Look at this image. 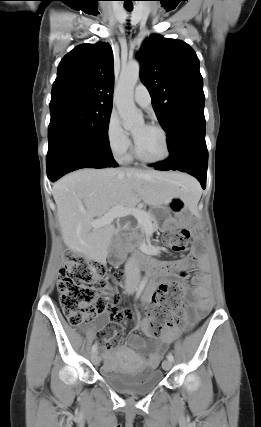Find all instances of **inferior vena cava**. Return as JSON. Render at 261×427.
I'll list each match as a JSON object with an SVG mask.
<instances>
[{
  "label": "inferior vena cava",
  "instance_id": "602c4592",
  "mask_svg": "<svg viewBox=\"0 0 261 427\" xmlns=\"http://www.w3.org/2000/svg\"><path fill=\"white\" fill-rule=\"evenodd\" d=\"M126 286L136 287L140 282V269L133 257H130L125 264Z\"/></svg>",
  "mask_w": 261,
  "mask_h": 427
}]
</instances>
